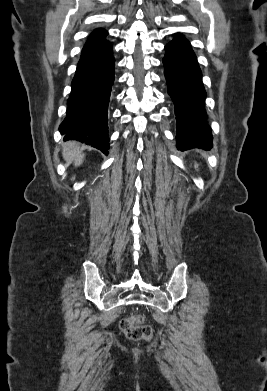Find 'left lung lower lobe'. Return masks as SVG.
I'll use <instances>...</instances> for the list:
<instances>
[{"instance_id":"1","label":"left lung lower lobe","mask_w":267,"mask_h":391,"mask_svg":"<svg viewBox=\"0 0 267 391\" xmlns=\"http://www.w3.org/2000/svg\"><path fill=\"white\" fill-rule=\"evenodd\" d=\"M163 64L177 120V147L180 150L212 147L211 129L206 122V92L202 73L190 43L181 35L165 46Z\"/></svg>"}]
</instances>
